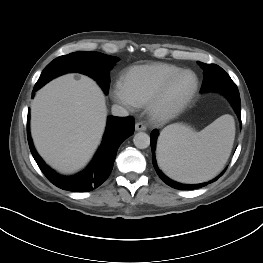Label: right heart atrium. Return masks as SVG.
<instances>
[{"mask_svg": "<svg viewBox=\"0 0 263 263\" xmlns=\"http://www.w3.org/2000/svg\"><path fill=\"white\" fill-rule=\"evenodd\" d=\"M113 98L116 102L126 106V107H134L136 106L131 98L129 97L124 84L122 82H117L112 90Z\"/></svg>", "mask_w": 263, "mask_h": 263, "instance_id": "d8ad5b80", "label": "right heart atrium"}]
</instances>
